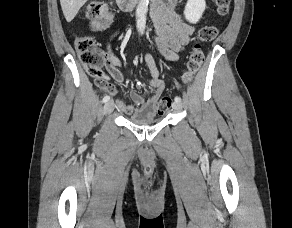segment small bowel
Masks as SVG:
<instances>
[{
	"label": "small bowel",
	"mask_w": 292,
	"mask_h": 228,
	"mask_svg": "<svg viewBox=\"0 0 292 228\" xmlns=\"http://www.w3.org/2000/svg\"><path fill=\"white\" fill-rule=\"evenodd\" d=\"M178 3L179 0L159 1L153 5L151 12L156 33L155 43L162 56L170 61L177 59L178 53L190 43L194 32V26L185 22L177 12L176 7ZM119 34L120 31L116 30L108 39L105 67L113 79L117 82H123L124 77L119 70L121 61L112 49V42ZM145 62L149 69V85L153 89V93L150 97L144 98L135 90H132L130 98L137 107L126 104L123 100H117L116 107L127 115L143 114L154 116L157 113V102L164 91L165 85L160 78L153 56L148 54L145 57ZM97 85L111 94H115L117 91L116 87L108 82L105 77H103V82Z\"/></svg>",
	"instance_id": "small-bowel-1"
}]
</instances>
